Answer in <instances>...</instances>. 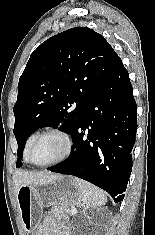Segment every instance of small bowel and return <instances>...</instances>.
I'll return each mask as SVG.
<instances>
[{
  "label": "small bowel",
  "mask_w": 155,
  "mask_h": 235,
  "mask_svg": "<svg viewBox=\"0 0 155 235\" xmlns=\"http://www.w3.org/2000/svg\"><path fill=\"white\" fill-rule=\"evenodd\" d=\"M41 235H70L67 229V221L61 215L47 217L39 228Z\"/></svg>",
  "instance_id": "c3829d8e"
}]
</instances>
